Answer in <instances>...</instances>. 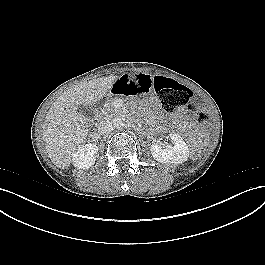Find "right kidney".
<instances>
[{"mask_svg": "<svg viewBox=\"0 0 265 265\" xmlns=\"http://www.w3.org/2000/svg\"><path fill=\"white\" fill-rule=\"evenodd\" d=\"M98 146L94 143L81 145L73 155L72 163L78 169H89L94 165Z\"/></svg>", "mask_w": 265, "mask_h": 265, "instance_id": "right-kidney-1", "label": "right kidney"}]
</instances>
